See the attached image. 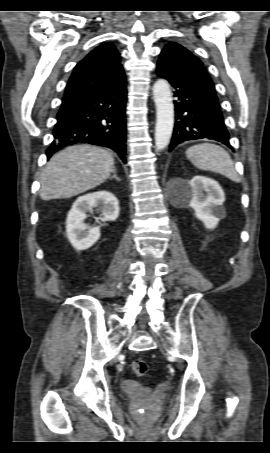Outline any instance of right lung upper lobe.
Segmentation results:
<instances>
[{
    "mask_svg": "<svg viewBox=\"0 0 270 453\" xmlns=\"http://www.w3.org/2000/svg\"><path fill=\"white\" fill-rule=\"evenodd\" d=\"M123 74L120 56L115 46L103 43L76 65L64 96L100 90Z\"/></svg>",
    "mask_w": 270,
    "mask_h": 453,
    "instance_id": "cb5924a9",
    "label": "right lung upper lobe"
}]
</instances>
